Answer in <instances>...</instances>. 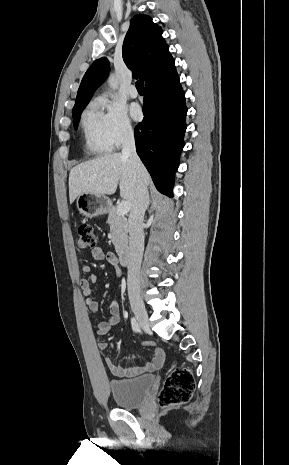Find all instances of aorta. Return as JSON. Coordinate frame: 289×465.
Listing matches in <instances>:
<instances>
[{"instance_id": "1", "label": "aorta", "mask_w": 289, "mask_h": 465, "mask_svg": "<svg viewBox=\"0 0 289 465\" xmlns=\"http://www.w3.org/2000/svg\"><path fill=\"white\" fill-rule=\"evenodd\" d=\"M108 84H109V86H110L113 90L117 89V87H118V82H117V79H116V77H115L114 75H110V76H109V78H108Z\"/></svg>"}]
</instances>
